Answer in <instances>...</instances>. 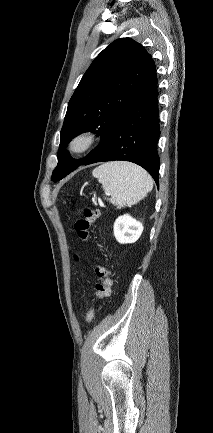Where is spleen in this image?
I'll use <instances>...</instances> for the list:
<instances>
[{
  "instance_id": "1",
  "label": "spleen",
  "mask_w": 213,
  "mask_h": 433,
  "mask_svg": "<svg viewBox=\"0 0 213 433\" xmlns=\"http://www.w3.org/2000/svg\"><path fill=\"white\" fill-rule=\"evenodd\" d=\"M93 176L102 184L109 201L118 208L132 206L153 188L151 176L141 167L129 162H108L95 168Z\"/></svg>"
}]
</instances>
